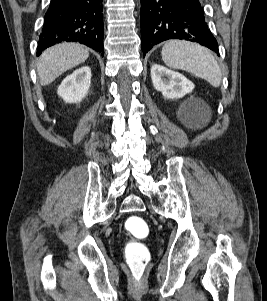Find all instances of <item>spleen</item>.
I'll return each instance as SVG.
<instances>
[{"instance_id": "1", "label": "spleen", "mask_w": 267, "mask_h": 301, "mask_svg": "<svg viewBox=\"0 0 267 301\" xmlns=\"http://www.w3.org/2000/svg\"><path fill=\"white\" fill-rule=\"evenodd\" d=\"M163 62L170 68L188 71L219 87L221 69L213 54L205 47L184 40H171L161 51Z\"/></svg>"}]
</instances>
